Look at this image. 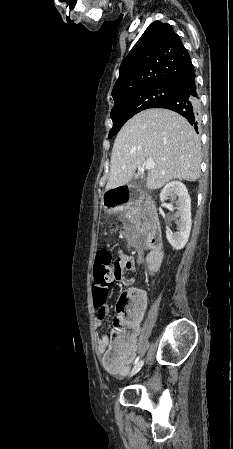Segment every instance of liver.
<instances>
[{
    "label": "liver",
    "mask_w": 233,
    "mask_h": 449,
    "mask_svg": "<svg viewBox=\"0 0 233 449\" xmlns=\"http://www.w3.org/2000/svg\"><path fill=\"white\" fill-rule=\"evenodd\" d=\"M147 160L154 162L147 177H141L148 189H159L173 179L200 177L201 144L186 118L167 109H148L129 119L112 148L106 190L129 183Z\"/></svg>",
    "instance_id": "6515ba94"
}]
</instances>
